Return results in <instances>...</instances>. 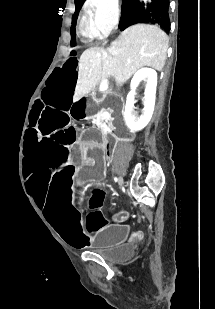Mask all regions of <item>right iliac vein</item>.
Wrapping results in <instances>:
<instances>
[{
    "instance_id": "obj_1",
    "label": "right iliac vein",
    "mask_w": 215,
    "mask_h": 309,
    "mask_svg": "<svg viewBox=\"0 0 215 309\" xmlns=\"http://www.w3.org/2000/svg\"><path fill=\"white\" fill-rule=\"evenodd\" d=\"M119 184H120V186H122V185H123V181H122V179H120V180H119Z\"/></svg>"
}]
</instances>
